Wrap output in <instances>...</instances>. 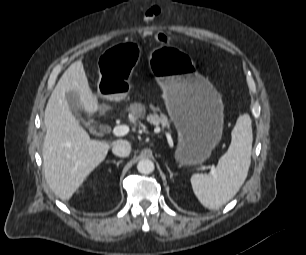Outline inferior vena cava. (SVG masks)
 I'll list each match as a JSON object with an SVG mask.
<instances>
[{
  "label": "inferior vena cava",
  "instance_id": "1",
  "mask_svg": "<svg viewBox=\"0 0 306 255\" xmlns=\"http://www.w3.org/2000/svg\"><path fill=\"white\" fill-rule=\"evenodd\" d=\"M112 152L119 157H127L131 152V145L126 140L115 141L112 147Z\"/></svg>",
  "mask_w": 306,
  "mask_h": 255
}]
</instances>
